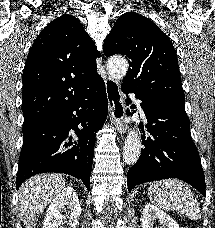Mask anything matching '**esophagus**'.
<instances>
[{
  "label": "esophagus",
  "mask_w": 215,
  "mask_h": 228,
  "mask_svg": "<svg viewBox=\"0 0 215 228\" xmlns=\"http://www.w3.org/2000/svg\"><path fill=\"white\" fill-rule=\"evenodd\" d=\"M106 95L110 109V120L118 133H125L127 126L124 123L125 103L119 83L114 78H105Z\"/></svg>",
  "instance_id": "obj_1"
}]
</instances>
